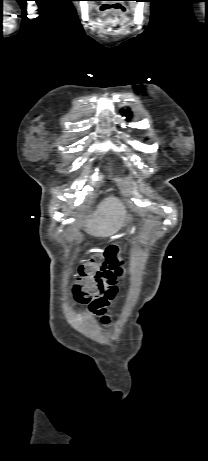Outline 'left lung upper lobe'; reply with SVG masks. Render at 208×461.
Here are the masks:
<instances>
[{
  "label": "left lung upper lobe",
  "instance_id": "5c2ea615",
  "mask_svg": "<svg viewBox=\"0 0 208 461\" xmlns=\"http://www.w3.org/2000/svg\"><path fill=\"white\" fill-rule=\"evenodd\" d=\"M122 114H123L124 116H126L127 119H129L130 116H131V112H129L128 110H123V111H122Z\"/></svg>",
  "mask_w": 208,
  "mask_h": 461
}]
</instances>
